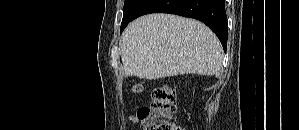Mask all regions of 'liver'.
Here are the masks:
<instances>
[{
    "instance_id": "liver-1",
    "label": "liver",
    "mask_w": 299,
    "mask_h": 130,
    "mask_svg": "<svg viewBox=\"0 0 299 130\" xmlns=\"http://www.w3.org/2000/svg\"><path fill=\"white\" fill-rule=\"evenodd\" d=\"M125 76L158 79L181 74L218 75L223 49L203 23L171 14L132 21L121 38Z\"/></svg>"
}]
</instances>
